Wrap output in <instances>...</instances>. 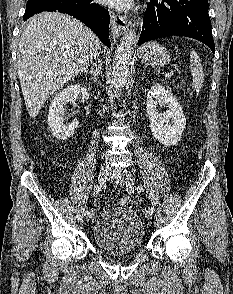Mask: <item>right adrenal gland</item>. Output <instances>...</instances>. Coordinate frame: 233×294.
<instances>
[{
	"mask_svg": "<svg viewBox=\"0 0 233 294\" xmlns=\"http://www.w3.org/2000/svg\"><path fill=\"white\" fill-rule=\"evenodd\" d=\"M101 72H102V64L100 60H98V64L95 65V68H91L90 70L89 69L85 70V74L92 75L93 79H96V77L100 75Z\"/></svg>",
	"mask_w": 233,
	"mask_h": 294,
	"instance_id": "right-adrenal-gland-1",
	"label": "right adrenal gland"
}]
</instances>
